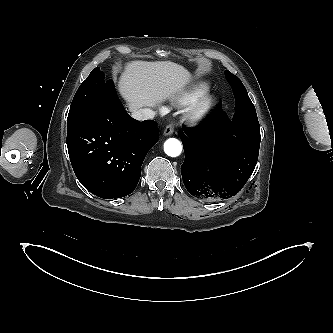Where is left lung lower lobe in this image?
<instances>
[{"mask_svg":"<svg viewBox=\"0 0 333 333\" xmlns=\"http://www.w3.org/2000/svg\"><path fill=\"white\" fill-rule=\"evenodd\" d=\"M253 118L255 130L251 123L228 122L220 113L197 129L180 132L185 151L181 173L190 194L215 201L235 196L243 188L259 154L260 130L254 110Z\"/></svg>","mask_w":333,"mask_h":333,"instance_id":"0a47b994","label":"left lung lower lobe"}]
</instances>
